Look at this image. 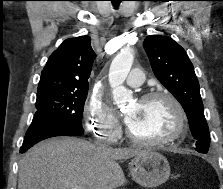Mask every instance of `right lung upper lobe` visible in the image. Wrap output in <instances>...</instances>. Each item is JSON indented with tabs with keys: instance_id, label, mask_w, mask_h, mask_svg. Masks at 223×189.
<instances>
[{
	"instance_id": "1",
	"label": "right lung upper lobe",
	"mask_w": 223,
	"mask_h": 189,
	"mask_svg": "<svg viewBox=\"0 0 223 189\" xmlns=\"http://www.w3.org/2000/svg\"><path fill=\"white\" fill-rule=\"evenodd\" d=\"M89 36L66 39L49 57L37 93L88 89L95 53Z\"/></svg>"
}]
</instances>
